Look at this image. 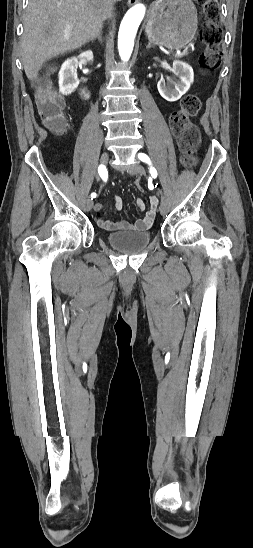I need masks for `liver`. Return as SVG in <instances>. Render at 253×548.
I'll return each mask as SVG.
<instances>
[{
	"instance_id": "6515ba94",
	"label": "liver",
	"mask_w": 253,
	"mask_h": 548,
	"mask_svg": "<svg viewBox=\"0 0 253 548\" xmlns=\"http://www.w3.org/2000/svg\"><path fill=\"white\" fill-rule=\"evenodd\" d=\"M106 17L105 0H29L21 39L27 78L36 79L47 60L97 36Z\"/></svg>"
}]
</instances>
